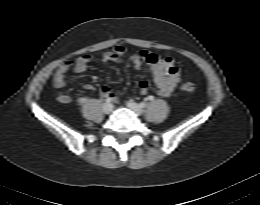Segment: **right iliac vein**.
I'll list each match as a JSON object with an SVG mask.
<instances>
[{"label":"right iliac vein","instance_id":"1","mask_svg":"<svg viewBox=\"0 0 260 205\" xmlns=\"http://www.w3.org/2000/svg\"><path fill=\"white\" fill-rule=\"evenodd\" d=\"M112 110H113L112 104L106 103V104L103 105V112H104L105 114L111 113Z\"/></svg>","mask_w":260,"mask_h":205}]
</instances>
